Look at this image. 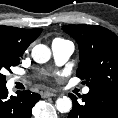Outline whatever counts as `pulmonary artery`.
I'll return each mask as SVG.
<instances>
[{"mask_svg": "<svg viewBox=\"0 0 118 118\" xmlns=\"http://www.w3.org/2000/svg\"><path fill=\"white\" fill-rule=\"evenodd\" d=\"M51 49L56 63L58 65H62L72 55L74 51V44L69 40L55 39L51 44ZM19 80L20 78L16 76L11 79L12 82H17ZM83 93H89V88H84Z\"/></svg>", "mask_w": 118, "mask_h": 118, "instance_id": "1", "label": "pulmonary artery"}]
</instances>
